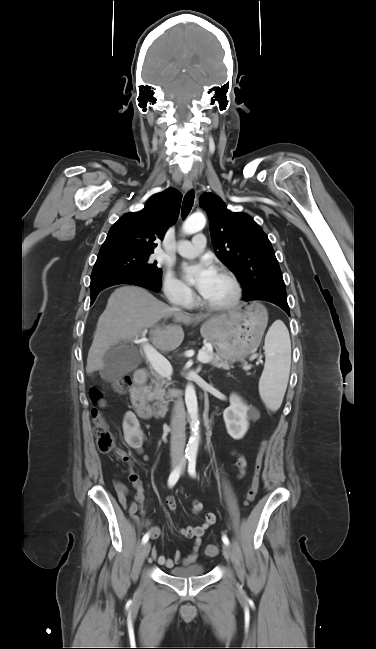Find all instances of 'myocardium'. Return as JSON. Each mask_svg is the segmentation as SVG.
I'll use <instances>...</instances> for the list:
<instances>
[{
    "label": "myocardium",
    "mask_w": 376,
    "mask_h": 649,
    "mask_svg": "<svg viewBox=\"0 0 376 649\" xmlns=\"http://www.w3.org/2000/svg\"><path fill=\"white\" fill-rule=\"evenodd\" d=\"M217 272L225 275L229 279V281L231 282L232 287H233V294H232L231 298L228 301L224 302V303L213 304V303L208 302L202 295V297L200 299V303H201V305L203 307H205L206 309H208L210 311H214V312L228 311V310L234 308L240 302L241 297H242V287H241V284H240L238 278L236 277V275L230 269L221 266V267H219L217 269Z\"/></svg>",
    "instance_id": "f54148a6"
}]
</instances>
